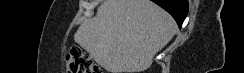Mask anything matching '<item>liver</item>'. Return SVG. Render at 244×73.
Returning <instances> with one entry per match:
<instances>
[{"label":"liver","instance_id":"1","mask_svg":"<svg viewBox=\"0 0 244 73\" xmlns=\"http://www.w3.org/2000/svg\"><path fill=\"white\" fill-rule=\"evenodd\" d=\"M176 30L171 15L149 0H105L74 40L109 73H140Z\"/></svg>","mask_w":244,"mask_h":73}]
</instances>
